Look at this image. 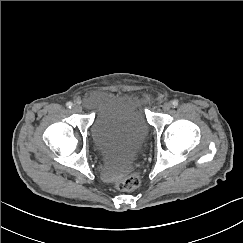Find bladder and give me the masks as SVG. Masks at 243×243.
Returning a JSON list of instances; mask_svg holds the SVG:
<instances>
[{
	"mask_svg": "<svg viewBox=\"0 0 243 243\" xmlns=\"http://www.w3.org/2000/svg\"><path fill=\"white\" fill-rule=\"evenodd\" d=\"M90 137L98 154L124 172L144 150L148 130L137 104L117 96L96 111Z\"/></svg>",
	"mask_w": 243,
	"mask_h": 243,
	"instance_id": "obj_1",
	"label": "bladder"
}]
</instances>
